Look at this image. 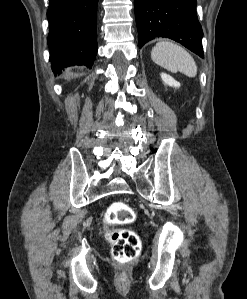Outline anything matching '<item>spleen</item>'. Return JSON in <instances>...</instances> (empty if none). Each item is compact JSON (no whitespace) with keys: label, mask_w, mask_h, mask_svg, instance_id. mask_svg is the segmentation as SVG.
<instances>
[{"label":"spleen","mask_w":247,"mask_h":299,"mask_svg":"<svg viewBox=\"0 0 247 299\" xmlns=\"http://www.w3.org/2000/svg\"><path fill=\"white\" fill-rule=\"evenodd\" d=\"M152 60L159 66L171 71L181 72L188 77H195L197 65L193 57L182 47L168 42L157 43L151 51Z\"/></svg>","instance_id":"1"}]
</instances>
